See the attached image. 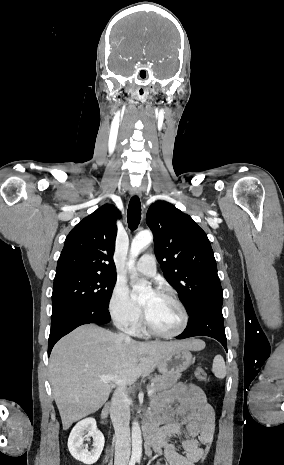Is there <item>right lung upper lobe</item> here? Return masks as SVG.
<instances>
[{"mask_svg": "<svg viewBox=\"0 0 284 465\" xmlns=\"http://www.w3.org/2000/svg\"><path fill=\"white\" fill-rule=\"evenodd\" d=\"M119 217L114 205H103L80 221L66 237L55 279L73 274L116 277L113 254Z\"/></svg>", "mask_w": 284, "mask_h": 465, "instance_id": "cb5924a9", "label": "right lung upper lobe"}]
</instances>
